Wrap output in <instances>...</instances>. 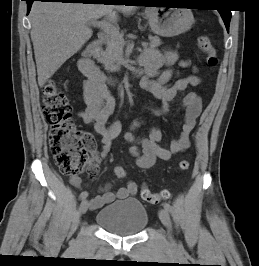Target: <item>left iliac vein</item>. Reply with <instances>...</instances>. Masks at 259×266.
<instances>
[{
    "label": "left iliac vein",
    "mask_w": 259,
    "mask_h": 266,
    "mask_svg": "<svg viewBox=\"0 0 259 266\" xmlns=\"http://www.w3.org/2000/svg\"><path fill=\"white\" fill-rule=\"evenodd\" d=\"M158 215H159V218H160L161 222L163 223V225L166 228H168V230H170L171 220H170L168 212L165 209H160ZM168 237H169L170 242L172 244H174V239H173L170 231H169Z\"/></svg>",
    "instance_id": "obj_1"
}]
</instances>
